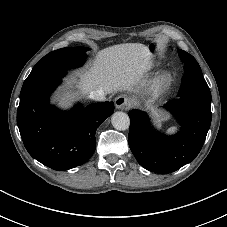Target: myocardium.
<instances>
[{"mask_svg":"<svg viewBox=\"0 0 227 227\" xmlns=\"http://www.w3.org/2000/svg\"><path fill=\"white\" fill-rule=\"evenodd\" d=\"M174 80V74L171 71L165 70L160 72L152 80L147 90L148 97L151 99H156L164 95L171 88L174 83Z\"/></svg>","mask_w":227,"mask_h":227,"instance_id":"f54148a6","label":"myocardium"}]
</instances>
